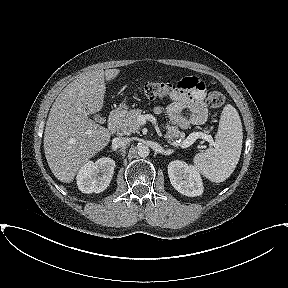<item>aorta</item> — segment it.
I'll list each match as a JSON object with an SVG mask.
<instances>
[{
	"label": "aorta",
	"mask_w": 288,
	"mask_h": 288,
	"mask_svg": "<svg viewBox=\"0 0 288 288\" xmlns=\"http://www.w3.org/2000/svg\"><path fill=\"white\" fill-rule=\"evenodd\" d=\"M150 149L148 146L142 145L138 147V155L142 158H145L149 155Z\"/></svg>",
	"instance_id": "obj_1"
}]
</instances>
